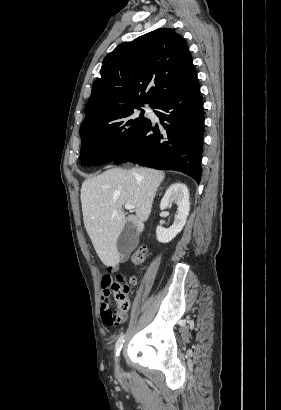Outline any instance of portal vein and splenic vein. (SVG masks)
Masks as SVG:
<instances>
[{"mask_svg":"<svg viewBox=\"0 0 281 410\" xmlns=\"http://www.w3.org/2000/svg\"><path fill=\"white\" fill-rule=\"evenodd\" d=\"M124 207H125L126 210H133V209H135V207H134L133 205H131V204H125Z\"/></svg>","mask_w":281,"mask_h":410,"instance_id":"obj_1","label":"portal vein and splenic vein"}]
</instances>
